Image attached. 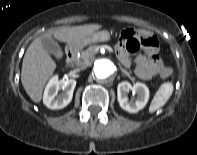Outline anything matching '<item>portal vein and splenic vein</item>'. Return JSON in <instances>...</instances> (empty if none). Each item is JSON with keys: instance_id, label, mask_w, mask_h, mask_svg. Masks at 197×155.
Masks as SVG:
<instances>
[{"instance_id": "obj_1", "label": "portal vein and splenic vein", "mask_w": 197, "mask_h": 155, "mask_svg": "<svg viewBox=\"0 0 197 155\" xmlns=\"http://www.w3.org/2000/svg\"><path fill=\"white\" fill-rule=\"evenodd\" d=\"M108 50H109V51H112V49H111V48H108Z\"/></svg>"}]
</instances>
